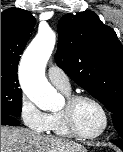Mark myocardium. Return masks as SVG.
<instances>
[{
	"mask_svg": "<svg viewBox=\"0 0 123 152\" xmlns=\"http://www.w3.org/2000/svg\"><path fill=\"white\" fill-rule=\"evenodd\" d=\"M89 101L93 103L98 109L101 111L103 115V125L99 131L93 134L82 133L78 130L75 119H74V109L78 102L80 101ZM63 117V121L65 123L66 128L72 134V136L81 138V139H95L100 137L102 134L106 132L109 126V116L106 108L103 104L97 100L95 97L87 94H69L66 96L65 105L60 111Z\"/></svg>",
	"mask_w": 123,
	"mask_h": 152,
	"instance_id": "myocardium-1",
	"label": "myocardium"
}]
</instances>
